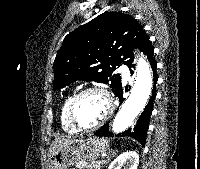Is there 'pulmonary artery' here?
<instances>
[{"instance_id": "pulmonary-artery-1", "label": "pulmonary artery", "mask_w": 200, "mask_h": 169, "mask_svg": "<svg viewBox=\"0 0 200 169\" xmlns=\"http://www.w3.org/2000/svg\"><path fill=\"white\" fill-rule=\"evenodd\" d=\"M120 71L122 72L123 77H124L125 79H128V78H129L130 74H129L128 70H126L125 68H120Z\"/></svg>"}]
</instances>
